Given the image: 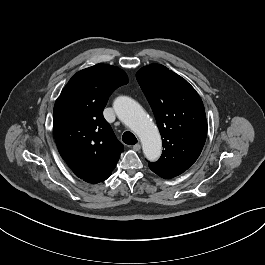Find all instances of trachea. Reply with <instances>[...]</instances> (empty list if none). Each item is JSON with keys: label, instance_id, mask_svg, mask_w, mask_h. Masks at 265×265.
<instances>
[{"label": "trachea", "instance_id": "obj_1", "mask_svg": "<svg viewBox=\"0 0 265 265\" xmlns=\"http://www.w3.org/2000/svg\"><path fill=\"white\" fill-rule=\"evenodd\" d=\"M122 140L124 143L128 144V145H134L137 143V138L135 137V135L129 131H126L123 136H122Z\"/></svg>", "mask_w": 265, "mask_h": 265}]
</instances>
